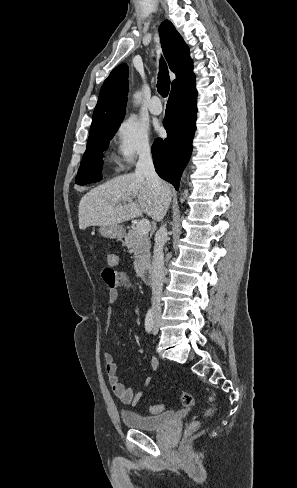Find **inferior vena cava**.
<instances>
[{
	"label": "inferior vena cava",
	"instance_id": "obj_1",
	"mask_svg": "<svg viewBox=\"0 0 297 488\" xmlns=\"http://www.w3.org/2000/svg\"><path fill=\"white\" fill-rule=\"evenodd\" d=\"M136 175H143L147 182H149L159 192L164 191L165 184L155 172L151 150L149 146H144L139 154V159L135 169ZM169 200H166V205ZM155 245L152 259V273H151V288H152V313L154 318L161 316L160 298L162 294V287L164 283V254L163 246L168 240V234L165 225H162L155 235Z\"/></svg>",
	"mask_w": 297,
	"mask_h": 488
}]
</instances>
